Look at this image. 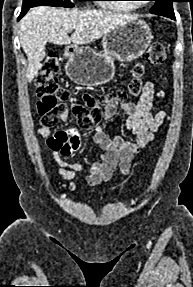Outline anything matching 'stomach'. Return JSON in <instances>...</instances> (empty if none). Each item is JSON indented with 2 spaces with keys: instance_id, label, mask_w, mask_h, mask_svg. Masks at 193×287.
<instances>
[{
  "instance_id": "0dacf381",
  "label": "stomach",
  "mask_w": 193,
  "mask_h": 287,
  "mask_svg": "<svg viewBox=\"0 0 193 287\" xmlns=\"http://www.w3.org/2000/svg\"><path fill=\"white\" fill-rule=\"evenodd\" d=\"M152 39L147 23L129 19L103 37V53L84 46L67 47L66 73L78 85H102L114 76V60L131 62L137 59L146 51Z\"/></svg>"
}]
</instances>
